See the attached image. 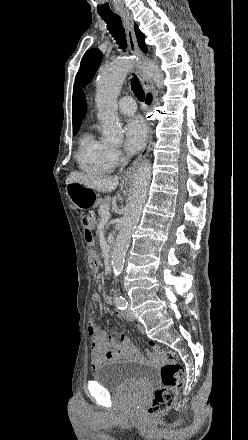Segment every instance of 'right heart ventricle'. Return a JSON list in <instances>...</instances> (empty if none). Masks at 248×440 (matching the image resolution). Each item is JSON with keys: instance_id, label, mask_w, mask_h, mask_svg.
Wrapping results in <instances>:
<instances>
[{"instance_id": "obj_1", "label": "right heart ventricle", "mask_w": 248, "mask_h": 440, "mask_svg": "<svg viewBox=\"0 0 248 440\" xmlns=\"http://www.w3.org/2000/svg\"><path fill=\"white\" fill-rule=\"evenodd\" d=\"M109 147L91 132H86L79 141L76 159L79 168L89 174H107L112 169Z\"/></svg>"}]
</instances>
